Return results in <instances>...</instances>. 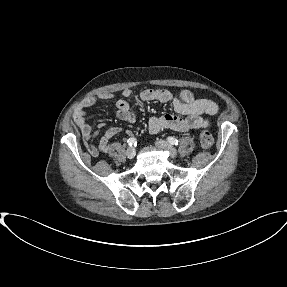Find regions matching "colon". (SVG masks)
I'll use <instances>...</instances> for the list:
<instances>
[{
  "label": "colon",
  "instance_id": "colon-1",
  "mask_svg": "<svg viewBox=\"0 0 287 287\" xmlns=\"http://www.w3.org/2000/svg\"><path fill=\"white\" fill-rule=\"evenodd\" d=\"M201 146L205 149H209L213 146L214 139L212 134L208 130H203L200 134Z\"/></svg>",
  "mask_w": 287,
  "mask_h": 287
}]
</instances>
